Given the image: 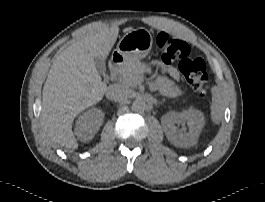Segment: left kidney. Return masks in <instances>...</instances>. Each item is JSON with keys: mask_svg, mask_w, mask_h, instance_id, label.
Masks as SVG:
<instances>
[{"mask_svg": "<svg viewBox=\"0 0 265 202\" xmlns=\"http://www.w3.org/2000/svg\"><path fill=\"white\" fill-rule=\"evenodd\" d=\"M161 123L167 139L175 146L189 148L197 143L198 137L204 127V116L199 110L188 109L182 112H168ZM187 124L188 132L185 128L179 130L176 125Z\"/></svg>", "mask_w": 265, "mask_h": 202, "instance_id": "5707ae66", "label": "left kidney"}]
</instances>
